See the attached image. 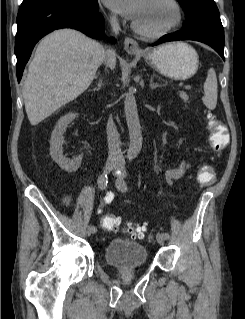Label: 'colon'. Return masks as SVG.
Masks as SVG:
<instances>
[{
  "label": "colon",
  "mask_w": 245,
  "mask_h": 319,
  "mask_svg": "<svg viewBox=\"0 0 245 319\" xmlns=\"http://www.w3.org/2000/svg\"><path fill=\"white\" fill-rule=\"evenodd\" d=\"M206 128L209 132V142L215 152H222L228 145V135L225 126L213 115L207 114L205 118ZM216 172L212 165L203 166L198 174L197 180L200 185L207 186L215 181ZM120 224V218L109 214L103 217L101 225L109 232H117ZM126 232L132 238H143L146 227L143 225H128Z\"/></svg>",
  "instance_id": "obj_1"
}]
</instances>
